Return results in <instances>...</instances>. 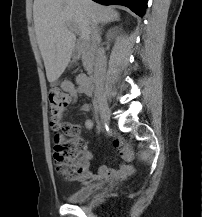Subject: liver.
<instances>
[{
	"label": "liver",
	"instance_id": "obj_1",
	"mask_svg": "<svg viewBox=\"0 0 202 217\" xmlns=\"http://www.w3.org/2000/svg\"><path fill=\"white\" fill-rule=\"evenodd\" d=\"M118 18L116 10L92 0H34V29L48 81L60 77L74 50L76 37L68 23L76 26L81 39L89 40L93 24Z\"/></svg>",
	"mask_w": 202,
	"mask_h": 217
}]
</instances>
